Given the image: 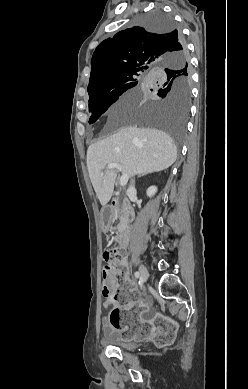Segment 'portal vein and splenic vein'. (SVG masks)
<instances>
[{"mask_svg": "<svg viewBox=\"0 0 248 389\" xmlns=\"http://www.w3.org/2000/svg\"><path fill=\"white\" fill-rule=\"evenodd\" d=\"M107 168L108 169L114 168V169H117L119 171H122V166L118 163H110V164H108ZM128 179H129V175L127 173H123L121 178H120V185L121 186L126 185V183L128 182Z\"/></svg>", "mask_w": 248, "mask_h": 389, "instance_id": "18ae733b", "label": "portal vein and splenic vein"}]
</instances>
